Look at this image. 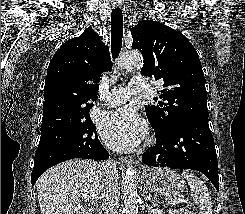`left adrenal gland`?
Segmentation results:
<instances>
[{
    "mask_svg": "<svg viewBox=\"0 0 245 214\" xmlns=\"http://www.w3.org/2000/svg\"><path fill=\"white\" fill-rule=\"evenodd\" d=\"M143 197L144 199H148L151 203L156 204L155 198L152 197L151 193H148V189L144 187L143 190Z\"/></svg>",
    "mask_w": 245,
    "mask_h": 214,
    "instance_id": "left-adrenal-gland-1",
    "label": "left adrenal gland"
}]
</instances>
